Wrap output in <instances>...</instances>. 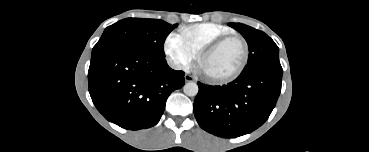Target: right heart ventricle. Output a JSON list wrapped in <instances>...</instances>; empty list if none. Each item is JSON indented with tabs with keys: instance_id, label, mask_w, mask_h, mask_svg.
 I'll use <instances>...</instances> for the list:
<instances>
[{
	"instance_id": "right-heart-ventricle-1",
	"label": "right heart ventricle",
	"mask_w": 369,
	"mask_h": 152,
	"mask_svg": "<svg viewBox=\"0 0 369 152\" xmlns=\"http://www.w3.org/2000/svg\"><path fill=\"white\" fill-rule=\"evenodd\" d=\"M180 33L188 45L199 54L205 46L214 40L234 32L231 28L222 24L201 22L183 27Z\"/></svg>"
}]
</instances>
